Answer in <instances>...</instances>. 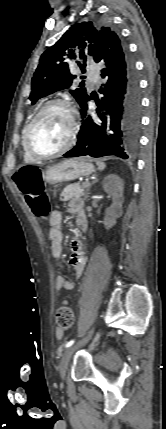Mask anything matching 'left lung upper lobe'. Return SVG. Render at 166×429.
Segmentation results:
<instances>
[{
  "instance_id": "left-lung-upper-lobe-1",
  "label": "left lung upper lobe",
  "mask_w": 166,
  "mask_h": 429,
  "mask_svg": "<svg viewBox=\"0 0 166 429\" xmlns=\"http://www.w3.org/2000/svg\"><path fill=\"white\" fill-rule=\"evenodd\" d=\"M118 34L110 27L95 26L92 22L75 24L50 48L39 60V65L32 77L29 99L34 104L47 94L66 89L76 77L70 73V67L78 59L92 57L95 61L101 43H110ZM70 93L80 106L89 95L83 86Z\"/></svg>"
}]
</instances>
